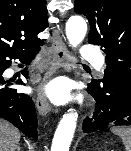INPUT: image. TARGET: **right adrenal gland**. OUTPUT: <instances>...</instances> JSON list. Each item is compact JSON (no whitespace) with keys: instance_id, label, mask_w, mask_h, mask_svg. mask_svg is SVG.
<instances>
[{"instance_id":"1","label":"right adrenal gland","mask_w":131,"mask_h":151,"mask_svg":"<svg viewBox=\"0 0 131 151\" xmlns=\"http://www.w3.org/2000/svg\"><path fill=\"white\" fill-rule=\"evenodd\" d=\"M17 151H21V148H20V146H17Z\"/></svg>"}]
</instances>
